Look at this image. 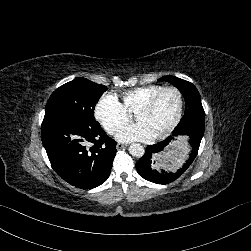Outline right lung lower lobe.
Masks as SVG:
<instances>
[{
  "instance_id": "right-lung-lower-lobe-1",
  "label": "right lung lower lobe",
  "mask_w": 251,
  "mask_h": 251,
  "mask_svg": "<svg viewBox=\"0 0 251 251\" xmlns=\"http://www.w3.org/2000/svg\"><path fill=\"white\" fill-rule=\"evenodd\" d=\"M41 138L52 168L71 185L92 189L109 177L117 143L96 120L46 114Z\"/></svg>"
}]
</instances>
